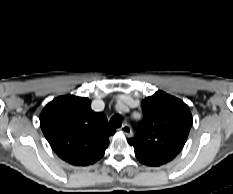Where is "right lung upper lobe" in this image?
I'll list each match as a JSON object with an SVG mask.
<instances>
[{"mask_svg": "<svg viewBox=\"0 0 233 194\" xmlns=\"http://www.w3.org/2000/svg\"><path fill=\"white\" fill-rule=\"evenodd\" d=\"M40 126L52 149L66 162L87 166L105 153L109 136L105 115L91 110V101L74 95L48 103L40 115Z\"/></svg>", "mask_w": 233, "mask_h": 194, "instance_id": "cb5924a9", "label": "right lung upper lobe"}]
</instances>
